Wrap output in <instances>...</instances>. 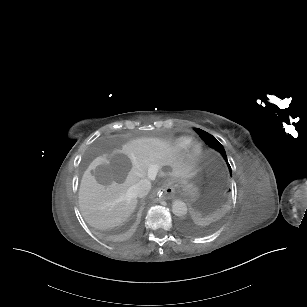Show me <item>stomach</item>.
<instances>
[{
	"mask_svg": "<svg viewBox=\"0 0 307 307\" xmlns=\"http://www.w3.org/2000/svg\"><path fill=\"white\" fill-rule=\"evenodd\" d=\"M175 183L177 186L181 187L183 191L188 193L194 191L195 189L193 178L191 176L187 178L176 179Z\"/></svg>",
	"mask_w": 307,
	"mask_h": 307,
	"instance_id": "stomach-1",
	"label": "stomach"
}]
</instances>
